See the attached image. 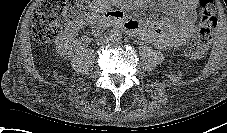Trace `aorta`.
<instances>
[{"instance_id":"obj_1","label":"aorta","mask_w":227,"mask_h":133,"mask_svg":"<svg viewBox=\"0 0 227 133\" xmlns=\"http://www.w3.org/2000/svg\"><path fill=\"white\" fill-rule=\"evenodd\" d=\"M121 38H122V36H121V34L118 33V32H115V34L112 35V40H113V42H114V41L117 42V41H119Z\"/></svg>"}]
</instances>
